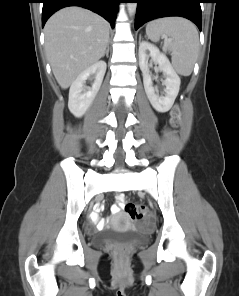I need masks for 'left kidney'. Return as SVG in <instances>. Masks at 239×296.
<instances>
[{
	"label": "left kidney",
	"mask_w": 239,
	"mask_h": 296,
	"mask_svg": "<svg viewBox=\"0 0 239 296\" xmlns=\"http://www.w3.org/2000/svg\"><path fill=\"white\" fill-rule=\"evenodd\" d=\"M149 57H151L153 62L158 63L159 70L165 76L163 81V84L166 86L165 96H159L158 89L153 86L152 78L149 74ZM139 66L143 75L144 89L152 107L160 113L169 111L178 95L181 80L168 58L155 45L143 41L139 44Z\"/></svg>",
	"instance_id": "left-kidney-1"
}]
</instances>
